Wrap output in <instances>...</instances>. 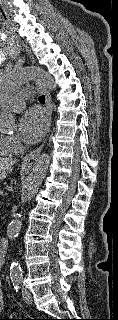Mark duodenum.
<instances>
[{
    "label": "duodenum",
    "instance_id": "410a0bca",
    "mask_svg": "<svg viewBox=\"0 0 118 320\" xmlns=\"http://www.w3.org/2000/svg\"><path fill=\"white\" fill-rule=\"evenodd\" d=\"M7 246L8 241L6 239H0V266L4 264Z\"/></svg>",
    "mask_w": 118,
    "mask_h": 320
}]
</instances>
